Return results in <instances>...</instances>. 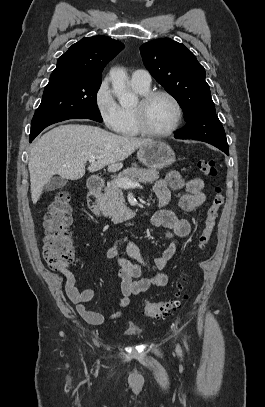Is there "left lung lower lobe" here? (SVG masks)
<instances>
[{
  "label": "left lung lower lobe",
  "mask_w": 265,
  "mask_h": 407,
  "mask_svg": "<svg viewBox=\"0 0 265 407\" xmlns=\"http://www.w3.org/2000/svg\"><path fill=\"white\" fill-rule=\"evenodd\" d=\"M215 147H216V146H215ZM217 148H219L220 150H222L223 152H225L227 155H229V149L226 150V149L221 148V147H217Z\"/></svg>",
  "instance_id": "obj_1"
}]
</instances>
